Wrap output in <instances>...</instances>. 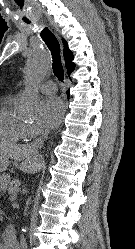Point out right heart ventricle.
<instances>
[{"label":"right heart ventricle","mask_w":135,"mask_h":249,"mask_svg":"<svg viewBox=\"0 0 135 249\" xmlns=\"http://www.w3.org/2000/svg\"><path fill=\"white\" fill-rule=\"evenodd\" d=\"M16 100L5 98L0 104V141L15 143L26 137L27 125L15 114Z\"/></svg>","instance_id":"e07e8e85"}]
</instances>
